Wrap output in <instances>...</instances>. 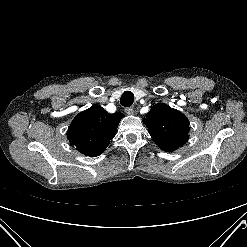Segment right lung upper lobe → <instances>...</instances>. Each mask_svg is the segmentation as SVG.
I'll list each match as a JSON object with an SVG mask.
<instances>
[{
    "label": "right lung upper lobe",
    "mask_w": 247,
    "mask_h": 247,
    "mask_svg": "<svg viewBox=\"0 0 247 247\" xmlns=\"http://www.w3.org/2000/svg\"><path fill=\"white\" fill-rule=\"evenodd\" d=\"M123 116L122 113L109 114L100 105H92L73 119L67 137L79 152L99 156L115 136Z\"/></svg>",
    "instance_id": "obj_1"
}]
</instances>
